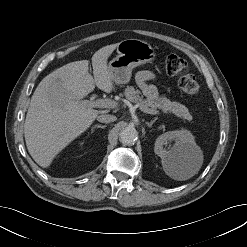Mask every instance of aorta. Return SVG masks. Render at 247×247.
<instances>
[{"mask_svg": "<svg viewBox=\"0 0 247 247\" xmlns=\"http://www.w3.org/2000/svg\"><path fill=\"white\" fill-rule=\"evenodd\" d=\"M138 138V132L135 128L126 127L120 132V142L126 145L133 144Z\"/></svg>", "mask_w": 247, "mask_h": 247, "instance_id": "aorta-1", "label": "aorta"}]
</instances>
